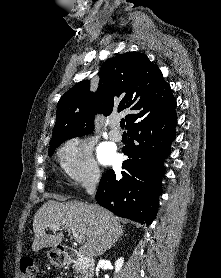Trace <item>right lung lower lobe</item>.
Listing matches in <instances>:
<instances>
[{"instance_id":"1","label":"right lung lower lobe","mask_w":221,"mask_h":278,"mask_svg":"<svg viewBox=\"0 0 221 278\" xmlns=\"http://www.w3.org/2000/svg\"><path fill=\"white\" fill-rule=\"evenodd\" d=\"M175 107L128 129L130 140L122 152L129 157L123 171L110 169L101 177L96 193L99 205L120 217L150 225L162 193L163 161L175 138Z\"/></svg>"}]
</instances>
